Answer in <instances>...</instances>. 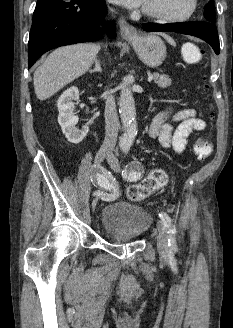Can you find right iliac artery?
<instances>
[{
	"label": "right iliac artery",
	"mask_w": 233,
	"mask_h": 328,
	"mask_svg": "<svg viewBox=\"0 0 233 328\" xmlns=\"http://www.w3.org/2000/svg\"><path fill=\"white\" fill-rule=\"evenodd\" d=\"M96 180L101 190L95 191L94 195L104 201H111L119 196V189L115 179L107 171L102 170L101 174H97Z\"/></svg>",
	"instance_id": "obj_1"
}]
</instances>
